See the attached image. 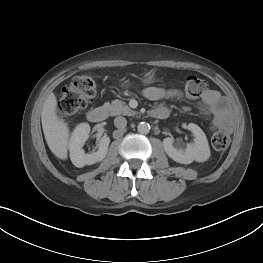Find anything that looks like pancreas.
<instances>
[{
  "mask_svg": "<svg viewBox=\"0 0 263 263\" xmlns=\"http://www.w3.org/2000/svg\"><path fill=\"white\" fill-rule=\"evenodd\" d=\"M104 107L110 112L111 116L121 114L132 116L135 114V112L132 111L129 106L125 105V103L120 100H114L112 103L106 102Z\"/></svg>",
  "mask_w": 263,
  "mask_h": 263,
  "instance_id": "obj_1",
  "label": "pancreas"
}]
</instances>
